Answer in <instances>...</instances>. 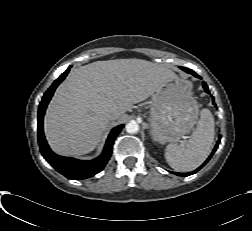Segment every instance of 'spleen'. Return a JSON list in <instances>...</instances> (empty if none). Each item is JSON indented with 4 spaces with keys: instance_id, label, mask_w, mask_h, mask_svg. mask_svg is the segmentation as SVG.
Here are the masks:
<instances>
[{
    "instance_id": "obj_1",
    "label": "spleen",
    "mask_w": 252,
    "mask_h": 231,
    "mask_svg": "<svg viewBox=\"0 0 252 231\" xmlns=\"http://www.w3.org/2000/svg\"><path fill=\"white\" fill-rule=\"evenodd\" d=\"M196 130L184 147L169 144L166 148L165 159L174 170L188 172L199 167L209 156L214 137V118L209 109L200 113Z\"/></svg>"
}]
</instances>
